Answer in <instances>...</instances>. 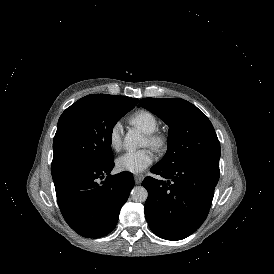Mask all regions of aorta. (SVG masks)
I'll list each match as a JSON object with an SVG mask.
<instances>
[{
    "instance_id": "762f6f07",
    "label": "aorta",
    "mask_w": 274,
    "mask_h": 274,
    "mask_svg": "<svg viewBox=\"0 0 274 274\" xmlns=\"http://www.w3.org/2000/svg\"><path fill=\"white\" fill-rule=\"evenodd\" d=\"M125 144L129 148H139L143 146V138L136 130H130L125 136ZM131 197L135 202H145L148 198V192L143 186H136L131 191Z\"/></svg>"
}]
</instances>
